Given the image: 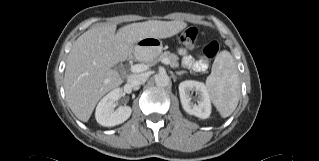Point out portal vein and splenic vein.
<instances>
[{"label": "portal vein and splenic vein", "mask_w": 319, "mask_h": 161, "mask_svg": "<svg viewBox=\"0 0 319 161\" xmlns=\"http://www.w3.org/2000/svg\"><path fill=\"white\" fill-rule=\"evenodd\" d=\"M162 63L168 65L170 64V61L168 59H163ZM147 69H148V66L145 64H136L131 67V71L133 73L143 72V71H146Z\"/></svg>", "instance_id": "obj_1"}]
</instances>
